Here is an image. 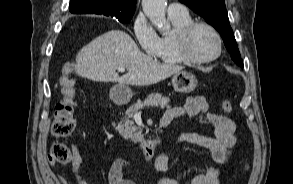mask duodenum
<instances>
[{"label": "duodenum", "instance_id": "obj_1", "mask_svg": "<svg viewBox=\"0 0 293 184\" xmlns=\"http://www.w3.org/2000/svg\"><path fill=\"white\" fill-rule=\"evenodd\" d=\"M161 126L166 127L167 124L161 123ZM160 142V137H154L142 143L140 146L142 157L146 160L153 158L156 154L158 146L160 145Z\"/></svg>", "mask_w": 293, "mask_h": 184}]
</instances>
